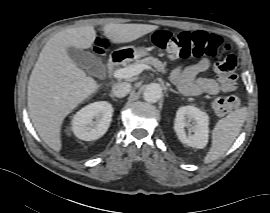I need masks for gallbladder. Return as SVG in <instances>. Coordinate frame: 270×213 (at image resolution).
I'll list each match as a JSON object with an SVG mask.
<instances>
[{
	"label": "gallbladder",
	"instance_id": "bac80fb5",
	"mask_svg": "<svg viewBox=\"0 0 270 213\" xmlns=\"http://www.w3.org/2000/svg\"><path fill=\"white\" fill-rule=\"evenodd\" d=\"M67 53L78 67L85 69L90 75L102 76L104 74L105 67L102 61L91 52L69 47Z\"/></svg>",
	"mask_w": 270,
	"mask_h": 213
}]
</instances>
